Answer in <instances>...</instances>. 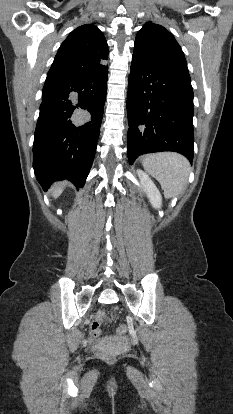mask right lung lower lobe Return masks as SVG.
Returning <instances> with one entry per match:
<instances>
[{
    "instance_id": "right-lung-lower-lobe-1",
    "label": "right lung lower lobe",
    "mask_w": 233,
    "mask_h": 414,
    "mask_svg": "<svg viewBox=\"0 0 233 414\" xmlns=\"http://www.w3.org/2000/svg\"><path fill=\"white\" fill-rule=\"evenodd\" d=\"M107 70L74 78L47 75L33 144L34 172L44 190L63 179L83 186L96 152Z\"/></svg>"
}]
</instances>
